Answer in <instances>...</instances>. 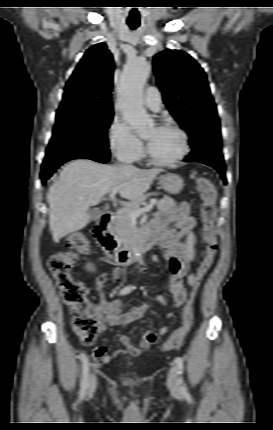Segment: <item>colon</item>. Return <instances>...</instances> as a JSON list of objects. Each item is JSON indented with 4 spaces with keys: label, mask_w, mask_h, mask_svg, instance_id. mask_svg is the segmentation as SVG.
Listing matches in <instances>:
<instances>
[{
    "label": "colon",
    "mask_w": 273,
    "mask_h": 430,
    "mask_svg": "<svg viewBox=\"0 0 273 430\" xmlns=\"http://www.w3.org/2000/svg\"><path fill=\"white\" fill-rule=\"evenodd\" d=\"M197 190L202 204L200 217L203 224V238L207 244L203 259L195 274V283L192 286L190 297L183 309L182 326L175 330L162 345V351H171L180 346L188 331L194 323L193 304L198 287L210 270L218 248L216 216L217 193L213 184L204 177L197 180ZM66 245L70 250L59 251L48 259V268L55 279L61 292L64 303L71 308V322L74 332L85 345H91L98 332V313L89 301L87 288L74 278L71 268L77 258V253H86L88 250L87 239L77 233L66 239Z\"/></svg>",
    "instance_id": "obj_1"
}]
</instances>
